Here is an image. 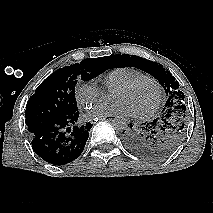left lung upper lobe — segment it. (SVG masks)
<instances>
[{"mask_svg":"<svg viewBox=\"0 0 213 213\" xmlns=\"http://www.w3.org/2000/svg\"><path fill=\"white\" fill-rule=\"evenodd\" d=\"M114 67H135L154 76L163 86L168 99L159 118L153 122L154 131L145 135V152L141 156L152 160H161L172 154L185 135L187 111L184 93L179 89L178 81L172 74L157 64L138 56L113 55Z\"/></svg>","mask_w":213,"mask_h":213,"instance_id":"obj_1","label":"left lung upper lobe"}]
</instances>
